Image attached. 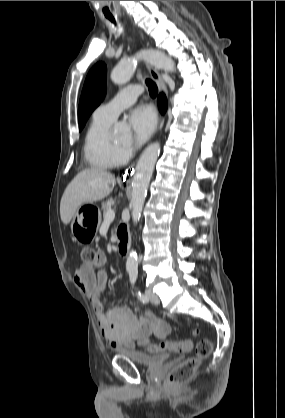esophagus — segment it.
I'll return each instance as SVG.
<instances>
[{"label": "esophagus", "instance_id": "obj_1", "mask_svg": "<svg viewBox=\"0 0 285 418\" xmlns=\"http://www.w3.org/2000/svg\"><path fill=\"white\" fill-rule=\"evenodd\" d=\"M141 37L143 38L142 34H141ZM147 69H148L152 79L156 82L160 92L166 94L167 93L166 83H165L164 79L162 78L161 74L159 73V71L148 63H147ZM164 120H165L164 116H161L157 130L162 129V127L164 125Z\"/></svg>", "mask_w": 285, "mask_h": 418}]
</instances>
